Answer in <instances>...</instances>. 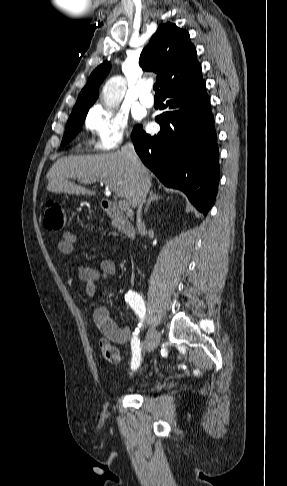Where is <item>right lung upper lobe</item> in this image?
Returning <instances> with one entry per match:
<instances>
[{
    "instance_id": "cb5924a9",
    "label": "right lung upper lobe",
    "mask_w": 287,
    "mask_h": 486,
    "mask_svg": "<svg viewBox=\"0 0 287 486\" xmlns=\"http://www.w3.org/2000/svg\"><path fill=\"white\" fill-rule=\"evenodd\" d=\"M139 64L143 70L158 74L161 94L202 78L201 65L189 33L170 22L159 25L142 50ZM109 70L110 64L105 61L91 73L71 114L89 110L97 100L99 86Z\"/></svg>"
}]
</instances>
